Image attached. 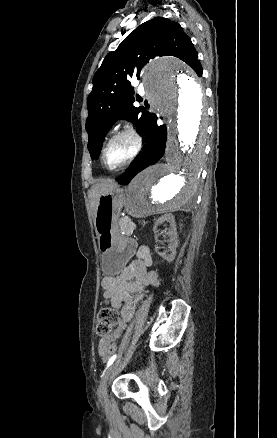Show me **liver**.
Masks as SVG:
<instances>
[{"instance_id": "6515ba94", "label": "liver", "mask_w": 277, "mask_h": 438, "mask_svg": "<svg viewBox=\"0 0 277 438\" xmlns=\"http://www.w3.org/2000/svg\"><path fill=\"white\" fill-rule=\"evenodd\" d=\"M113 188H117V184H113V180H108V184H99V186H92L90 194L93 198L94 214H96V206L99 196H101V194H107V192H111Z\"/></svg>"}]
</instances>
